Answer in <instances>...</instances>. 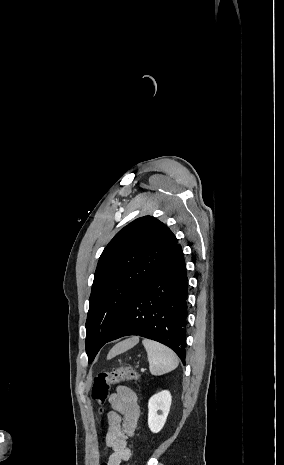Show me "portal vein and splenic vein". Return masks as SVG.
<instances>
[{"label": "portal vein and splenic vein", "instance_id": "1", "mask_svg": "<svg viewBox=\"0 0 284 465\" xmlns=\"http://www.w3.org/2000/svg\"><path fill=\"white\" fill-rule=\"evenodd\" d=\"M141 371H145V369H141Z\"/></svg>", "mask_w": 284, "mask_h": 465}]
</instances>
